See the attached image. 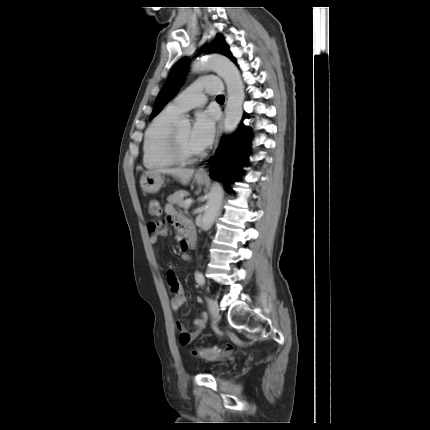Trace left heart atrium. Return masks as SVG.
I'll return each mask as SVG.
<instances>
[{
	"instance_id": "1",
	"label": "left heart atrium",
	"mask_w": 430,
	"mask_h": 430,
	"mask_svg": "<svg viewBox=\"0 0 430 430\" xmlns=\"http://www.w3.org/2000/svg\"><path fill=\"white\" fill-rule=\"evenodd\" d=\"M215 132L214 119L208 112L197 115L191 129V144L198 151L210 146Z\"/></svg>"
}]
</instances>
